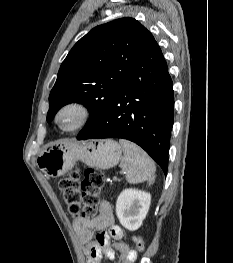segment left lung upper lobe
<instances>
[{"instance_id":"5c2ea615","label":"left lung upper lobe","mask_w":233,"mask_h":263,"mask_svg":"<svg viewBox=\"0 0 233 263\" xmlns=\"http://www.w3.org/2000/svg\"><path fill=\"white\" fill-rule=\"evenodd\" d=\"M155 41L137 20L125 17L99 25L82 37L61 64L49 96L47 121L72 102L84 104L90 117L86 135L101 119L122 83Z\"/></svg>"}]
</instances>
